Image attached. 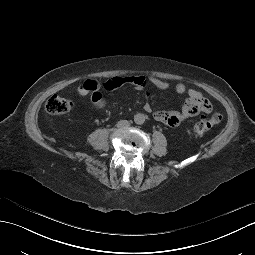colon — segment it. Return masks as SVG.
Instances as JSON below:
<instances>
[{
  "instance_id": "1",
  "label": "colon",
  "mask_w": 255,
  "mask_h": 255,
  "mask_svg": "<svg viewBox=\"0 0 255 255\" xmlns=\"http://www.w3.org/2000/svg\"><path fill=\"white\" fill-rule=\"evenodd\" d=\"M45 108L52 115L65 114L74 108V102L68 98L53 95L47 100ZM221 121L220 113L213 114L210 119L201 118L192 125L190 133L195 137H201Z\"/></svg>"
}]
</instances>
